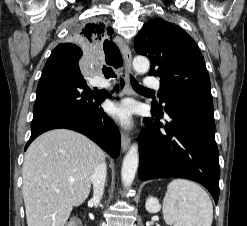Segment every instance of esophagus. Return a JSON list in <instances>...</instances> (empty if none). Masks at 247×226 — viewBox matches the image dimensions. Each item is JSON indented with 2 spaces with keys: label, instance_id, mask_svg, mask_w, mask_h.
I'll return each instance as SVG.
<instances>
[{
  "label": "esophagus",
  "instance_id": "34e87169",
  "mask_svg": "<svg viewBox=\"0 0 247 226\" xmlns=\"http://www.w3.org/2000/svg\"><path fill=\"white\" fill-rule=\"evenodd\" d=\"M117 45L122 53L123 59H124V63H125V78L126 81L128 83V88H127V94H131L132 91L129 87V74L132 71V66H131V62H132V54H131V50L128 46V44L125 42L124 39L118 37L117 38ZM130 146V138L128 135L126 134H122L121 136V147L123 151H126Z\"/></svg>",
  "mask_w": 247,
  "mask_h": 226
}]
</instances>
